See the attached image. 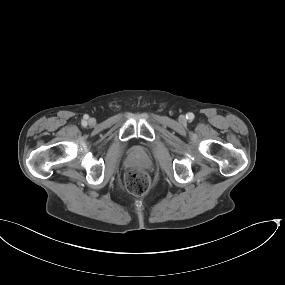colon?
I'll use <instances>...</instances> for the list:
<instances>
[{"instance_id":"colon-1","label":"colon","mask_w":285,"mask_h":285,"mask_svg":"<svg viewBox=\"0 0 285 285\" xmlns=\"http://www.w3.org/2000/svg\"><path fill=\"white\" fill-rule=\"evenodd\" d=\"M151 185L150 176L142 170H131L125 175L126 189L133 195L145 196Z\"/></svg>"}]
</instances>
